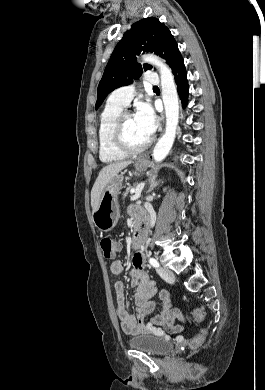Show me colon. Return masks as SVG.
I'll return each instance as SVG.
<instances>
[{"label":"colon","instance_id":"colon-1","mask_svg":"<svg viewBox=\"0 0 265 390\" xmlns=\"http://www.w3.org/2000/svg\"><path fill=\"white\" fill-rule=\"evenodd\" d=\"M100 247L102 249L104 257L107 260H111L115 258L117 252L115 249V242L111 238L109 237L102 238L100 241ZM204 317H205V312L203 309L197 308L194 310L193 318L195 322L197 323L201 322L204 319ZM206 334H207V330L202 329L201 332L193 340V344L197 345L201 343L204 340Z\"/></svg>","mask_w":265,"mask_h":390}]
</instances>
